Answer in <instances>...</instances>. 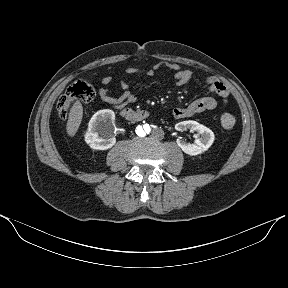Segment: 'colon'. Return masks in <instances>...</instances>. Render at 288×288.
Here are the masks:
<instances>
[{"instance_id": "1", "label": "colon", "mask_w": 288, "mask_h": 288, "mask_svg": "<svg viewBox=\"0 0 288 288\" xmlns=\"http://www.w3.org/2000/svg\"><path fill=\"white\" fill-rule=\"evenodd\" d=\"M96 95L95 87L85 81L78 80L71 84L57 102V111L62 119L67 118L69 109L74 102H90ZM223 129L230 131L235 125V118L225 113L220 118Z\"/></svg>"}]
</instances>
